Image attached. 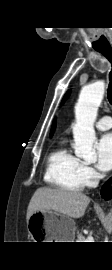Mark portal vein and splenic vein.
I'll list each match as a JSON object with an SVG mask.
<instances>
[{
	"instance_id": "portal-vein-and-splenic-vein-1",
	"label": "portal vein and splenic vein",
	"mask_w": 112,
	"mask_h": 270,
	"mask_svg": "<svg viewBox=\"0 0 112 270\" xmlns=\"http://www.w3.org/2000/svg\"><path fill=\"white\" fill-rule=\"evenodd\" d=\"M85 242H94L93 236H92V235H89V236L87 237V239L85 240Z\"/></svg>"
}]
</instances>
